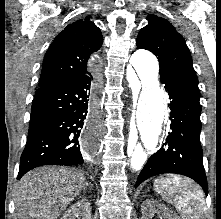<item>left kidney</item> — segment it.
Segmentation results:
<instances>
[{
    "label": "left kidney",
    "instance_id": "5707ae66",
    "mask_svg": "<svg viewBox=\"0 0 221 219\" xmlns=\"http://www.w3.org/2000/svg\"><path fill=\"white\" fill-rule=\"evenodd\" d=\"M154 214H158L160 219H179L171 210L154 200H145L142 204L141 219H152Z\"/></svg>",
    "mask_w": 221,
    "mask_h": 219
}]
</instances>
